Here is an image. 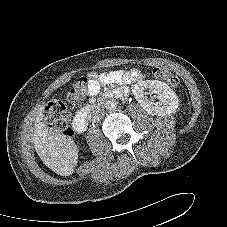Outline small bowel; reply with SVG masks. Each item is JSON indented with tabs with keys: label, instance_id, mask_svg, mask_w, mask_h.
Here are the masks:
<instances>
[{
	"label": "small bowel",
	"instance_id": "c3829d8e",
	"mask_svg": "<svg viewBox=\"0 0 227 227\" xmlns=\"http://www.w3.org/2000/svg\"><path fill=\"white\" fill-rule=\"evenodd\" d=\"M141 73L139 71H125L116 70L107 73L98 74L96 72H91L88 75L89 79V94L95 95L99 92L101 85H106L110 83H129L134 80L141 78Z\"/></svg>",
	"mask_w": 227,
	"mask_h": 227
}]
</instances>
